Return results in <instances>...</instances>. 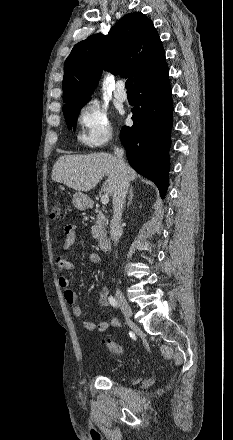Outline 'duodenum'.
I'll list each match as a JSON object with an SVG mask.
<instances>
[{
	"label": "duodenum",
	"mask_w": 233,
	"mask_h": 440,
	"mask_svg": "<svg viewBox=\"0 0 233 440\" xmlns=\"http://www.w3.org/2000/svg\"><path fill=\"white\" fill-rule=\"evenodd\" d=\"M110 245H111V241H110V239L108 237L101 236L99 238V246H100L101 249L107 250V249L110 248Z\"/></svg>",
	"instance_id": "obj_1"
}]
</instances>
